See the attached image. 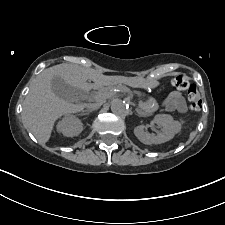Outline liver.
Masks as SVG:
<instances>
[{"mask_svg": "<svg viewBox=\"0 0 225 225\" xmlns=\"http://www.w3.org/2000/svg\"><path fill=\"white\" fill-rule=\"evenodd\" d=\"M54 76L80 91L101 88L113 83V78L79 65L59 64L45 69L31 83L30 91L23 102L25 127L45 144L49 141L55 121L63 115L82 111L87 104H73L55 95L51 88ZM92 80L94 84L87 83Z\"/></svg>", "mask_w": 225, "mask_h": 225, "instance_id": "1", "label": "liver"}]
</instances>
